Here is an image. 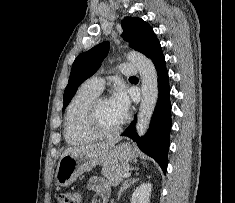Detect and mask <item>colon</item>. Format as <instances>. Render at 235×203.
Masks as SVG:
<instances>
[{
  "label": "colon",
  "mask_w": 235,
  "mask_h": 203,
  "mask_svg": "<svg viewBox=\"0 0 235 203\" xmlns=\"http://www.w3.org/2000/svg\"><path fill=\"white\" fill-rule=\"evenodd\" d=\"M58 203H81V198L78 193L68 191L59 195Z\"/></svg>",
  "instance_id": "1"
}]
</instances>
